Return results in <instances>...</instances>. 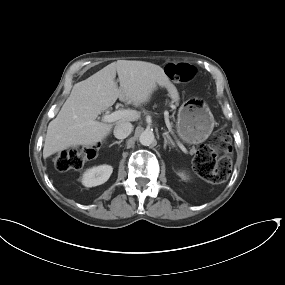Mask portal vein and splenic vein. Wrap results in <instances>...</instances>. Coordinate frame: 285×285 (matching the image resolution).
<instances>
[{
	"label": "portal vein and splenic vein",
	"mask_w": 285,
	"mask_h": 285,
	"mask_svg": "<svg viewBox=\"0 0 285 285\" xmlns=\"http://www.w3.org/2000/svg\"><path fill=\"white\" fill-rule=\"evenodd\" d=\"M130 113L129 110H118V111H115L111 114H105L103 117H102V120L104 122H115L119 119H121L122 117L128 115ZM165 123L167 125V128L169 129V131H171V124L169 122V118L168 116L165 117ZM177 145L179 146V148L184 152V153H188L187 149L185 148V146L183 144H181L179 141H177Z\"/></svg>",
	"instance_id": "18ae733b"
}]
</instances>
